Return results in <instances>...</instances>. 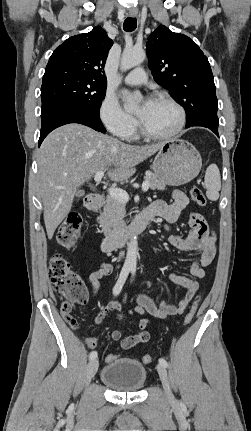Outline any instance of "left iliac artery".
I'll return each instance as SVG.
<instances>
[{"label":"left iliac artery","instance_id":"1","mask_svg":"<svg viewBox=\"0 0 251 431\" xmlns=\"http://www.w3.org/2000/svg\"><path fill=\"white\" fill-rule=\"evenodd\" d=\"M131 272H132V275L134 276V275H135V272H136V268H135V267H132V268H131ZM159 363H160L161 365H163L164 367H168V363H167V361H166L164 358H160V359H159Z\"/></svg>","mask_w":251,"mask_h":431}]
</instances>
